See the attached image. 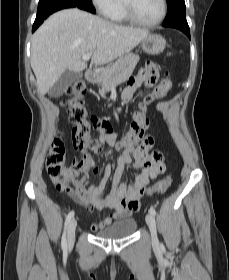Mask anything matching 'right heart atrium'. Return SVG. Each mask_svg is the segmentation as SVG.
Instances as JSON below:
<instances>
[{"mask_svg": "<svg viewBox=\"0 0 229 280\" xmlns=\"http://www.w3.org/2000/svg\"><path fill=\"white\" fill-rule=\"evenodd\" d=\"M92 3L101 15L109 18L114 9L117 7L119 0H92Z\"/></svg>", "mask_w": 229, "mask_h": 280, "instance_id": "1", "label": "right heart atrium"}]
</instances>
